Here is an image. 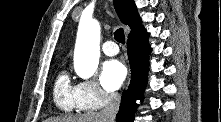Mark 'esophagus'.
Returning a JSON list of instances; mask_svg holds the SVG:
<instances>
[{
	"label": "esophagus",
	"mask_w": 221,
	"mask_h": 122,
	"mask_svg": "<svg viewBox=\"0 0 221 122\" xmlns=\"http://www.w3.org/2000/svg\"><path fill=\"white\" fill-rule=\"evenodd\" d=\"M129 84V78H128V82H127V85Z\"/></svg>",
	"instance_id": "esophagus-1"
}]
</instances>
